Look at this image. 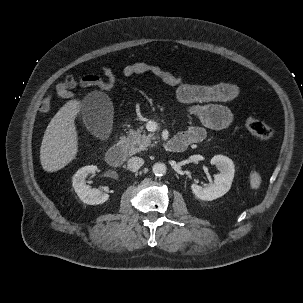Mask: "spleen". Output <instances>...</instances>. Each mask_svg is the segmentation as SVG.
<instances>
[{"mask_svg": "<svg viewBox=\"0 0 303 303\" xmlns=\"http://www.w3.org/2000/svg\"><path fill=\"white\" fill-rule=\"evenodd\" d=\"M249 180L251 188L257 189L261 183V176L258 172L254 171L250 173Z\"/></svg>", "mask_w": 303, "mask_h": 303, "instance_id": "obj_1", "label": "spleen"}]
</instances>
